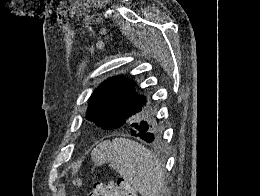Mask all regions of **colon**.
Here are the masks:
<instances>
[{"label":"colon","instance_id":"obj_1","mask_svg":"<svg viewBox=\"0 0 260 196\" xmlns=\"http://www.w3.org/2000/svg\"><path fill=\"white\" fill-rule=\"evenodd\" d=\"M120 181H118V184H121L123 182V179H119ZM73 184L75 186H79L80 185V179L76 178L73 180ZM114 194H116V192H114Z\"/></svg>","mask_w":260,"mask_h":196}]
</instances>
